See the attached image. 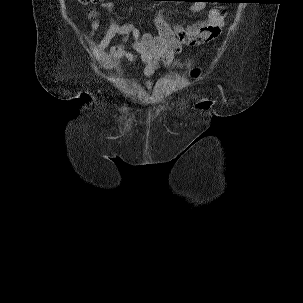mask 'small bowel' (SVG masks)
<instances>
[{"mask_svg": "<svg viewBox=\"0 0 303 303\" xmlns=\"http://www.w3.org/2000/svg\"><path fill=\"white\" fill-rule=\"evenodd\" d=\"M102 1V8L110 11L111 2ZM197 10V8H193ZM90 35L100 27V12L91 10L88 14ZM156 34L142 35L139 29L130 23L120 24L112 21L105 28L103 37L94 45L98 62L106 69L122 73V62H135L138 58L144 64L143 74L146 78L154 75L160 65L176 64V55L182 51L183 44L196 45L214 39L224 24V15L217 9L209 12L208 18L199 24L172 27L164 15L159 12L154 17ZM121 37V43L111 45L113 39ZM133 38L132 47L135 53L126 48L129 38Z\"/></svg>", "mask_w": 303, "mask_h": 303, "instance_id": "1", "label": "small bowel"}]
</instances>
